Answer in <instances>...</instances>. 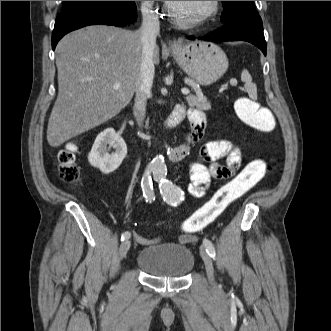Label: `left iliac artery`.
Here are the masks:
<instances>
[{
    "label": "left iliac artery",
    "instance_id": "left-iliac-artery-1",
    "mask_svg": "<svg viewBox=\"0 0 331 331\" xmlns=\"http://www.w3.org/2000/svg\"><path fill=\"white\" fill-rule=\"evenodd\" d=\"M154 178L159 183L160 192L164 201L173 206H176L183 201V191L166 178V172L164 170H156ZM203 244L207 253L214 258L216 253L212 242L208 239H204Z\"/></svg>",
    "mask_w": 331,
    "mask_h": 331
}]
</instances>
